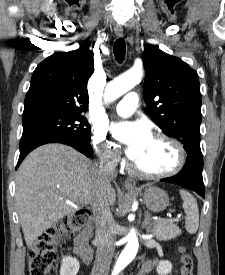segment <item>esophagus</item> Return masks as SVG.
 Returning <instances> with one entry per match:
<instances>
[{"label": "esophagus", "mask_w": 225, "mask_h": 275, "mask_svg": "<svg viewBox=\"0 0 225 275\" xmlns=\"http://www.w3.org/2000/svg\"><path fill=\"white\" fill-rule=\"evenodd\" d=\"M115 35L118 38H121L123 36V29L120 26L115 27ZM125 187L127 189H134L136 187V181L132 178H129L125 181Z\"/></svg>", "instance_id": "obj_1"}]
</instances>
